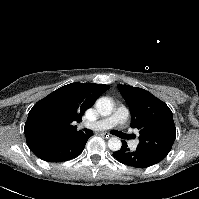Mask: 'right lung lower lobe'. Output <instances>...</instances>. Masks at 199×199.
<instances>
[{
  "label": "right lung lower lobe",
  "instance_id": "right-lung-lower-lobe-1",
  "mask_svg": "<svg viewBox=\"0 0 199 199\" xmlns=\"http://www.w3.org/2000/svg\"><path fill=\"white\" fill-rule=\"evenodd\" d=\"M91 135L80 132L69 138L58 141L35 143L30 150L40 159L47 162H62L73 159L84 149Z\"/></svg>",
  "mask_w": 199,
  "mask_h": 199
}]
</instances>
